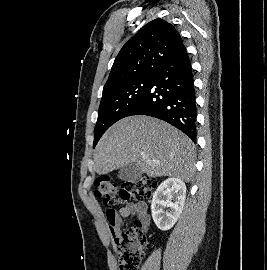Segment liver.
<instances>
[{
    "instance_id": "6515ba94",
    "label": "liver",
    "mask_w": 267,
    "mask_h": 270,
    "mask_svg": "<svg viewBox=\"0 0 267 270\" xmlns=\"http://www.w3.org/2000/svg\"><path fill=\"white\" fill-rule=\"evenodd\" d=\"M194 157L193 142L170 124L130 116L104 133L94 151V170L102 175L136 164L149 177L169 176L188 183L195 172Z\"/></svg>"
}]
</instances>
